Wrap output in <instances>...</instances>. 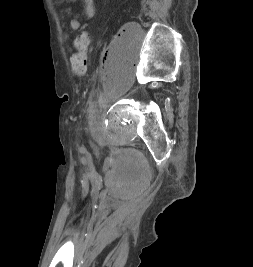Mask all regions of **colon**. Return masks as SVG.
I'll use <instances>...</instances> for the list:
<instances>
[{"mask_svg": "<svg viewBox=\"0 0 253 267\" xmlns=\"http://www.w3.org/2000/svg\"><path fill=\"white\" fill-rule=\"evenodd\" d=\"M89 38L86 32H80L75 39L76 52L71 57V66L73 72L78 75H84L87 70V50Z\"/></svg>", "mask_w": 253, "mask_h": 267, "instance_id": "obj_1", "label": "colon"}]
</instances>
